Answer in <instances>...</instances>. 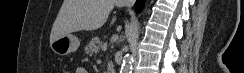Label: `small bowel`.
<instances>
[{
    "label": "small bowel",
    "instance_id": "c3829d8e",
    "mask_svg": "<svg viewBox=\"0 0 244 73\" xmlns=\"http://www.w3.org/2000/svg\"><path fill=\"white\" fill-rule=\"evenodd\" d=\"M76 73H87V71H86V69L83 68V67H78V68L76 69Z\"/></svg>",
    "mask_w": 244,
    "mask_h": 73
}]
</instances>
